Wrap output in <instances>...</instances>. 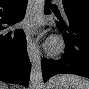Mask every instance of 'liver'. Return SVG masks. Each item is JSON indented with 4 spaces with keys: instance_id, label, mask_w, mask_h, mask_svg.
Masks as SVG:
<instances>
[{
    "instance_id": "obj_1",
    "label": "liver",
    "mask_w": 89,
    "mask_h": 89,
    "mask_svg": "<svg viewBox=\"0 0 89 89\" xmlns=\"http://www.w3.org/2000/svg\"><path fill=\"white\" fill-rule=\"evenodd\" d=\"M2 87H4V86H2ZM2 89H7L6 87H4V88H2Z\"/></svg>"
}]
</instances>
